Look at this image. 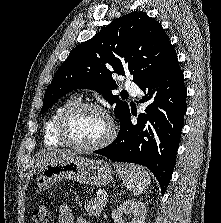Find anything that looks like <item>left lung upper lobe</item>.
Segmentation results:
<instances>
[{
    "label": "left lung upper lobe",
    "mask_w": 221,
    "mask_h": 223,
    "mask_svg": "<svg viewBox=\"0 0 221 223\" xmlns=\"http://www.w3.org/2000/svg\"><path fill=\"white\" fill-rule=\"evenodd\" d=\"M170 45L159 22L145 12H131L115 19L70 52L46 89L41 114L68 92L86 88L115 104L120 121L129 106L112 94L117 87L112 74L130 73L140 85L159 66Z\"/></svg>",
    "instance_id": "1"
}]
</instances>
